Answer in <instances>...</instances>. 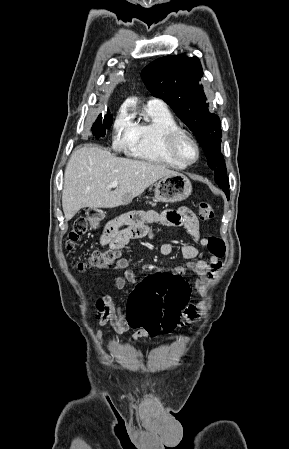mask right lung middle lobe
<instances>
[{
  "instance_id": "1",
  "label": "right lung middle lobe",
  "mask_w": 289,
  "mask_h": 449,
  "mask_svg": "<svg viewBox=\"0 0 289 449\" xmlns=\"http://www.w3.org/2000/svg\"><path fill=\"white\" fill-rule=\"evenodd\" d=\"M112 122L113 118L110 115L109 110L107 111V114L104 116V118L102 117V114H100L91 128L93 135L97 138L104 137L106 129L110 128Z\"/></svg>"
}]
</instances>
